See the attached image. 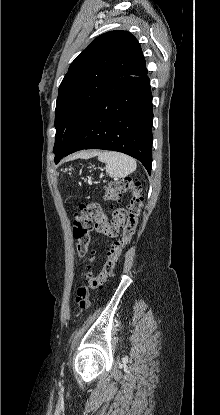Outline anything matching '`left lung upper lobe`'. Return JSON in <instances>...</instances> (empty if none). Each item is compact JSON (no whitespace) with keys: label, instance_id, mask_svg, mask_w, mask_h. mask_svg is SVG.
<instances>
[{"label":"left lung upper lobe","instance_id":"5c2ea615","mask_svg":"<svg viewBox=\"0 0 220 415\" xmlns=\"http://www.w3.org/2000/svg\"><path fill=\"white\" fill-rule=\"evenodd\" d=\"M146 67L142 49L129 32L98 36L71 63L63 78L55 109V156L65 152L90 111L111 83Z\"/></svg>","mask_w":220,"mask_h":415}]
</instances>
